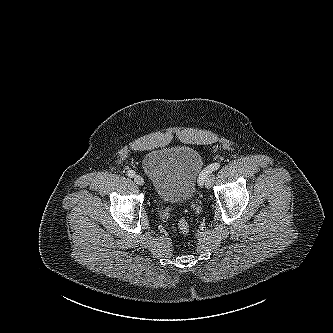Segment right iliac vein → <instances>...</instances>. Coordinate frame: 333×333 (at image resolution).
<instances>
[{"label":"right iliac vein","mask_w":333,"mask_h":333,"mask_svg":"<svg viewBox=\"0 0 333 333\" xmlns=\"http://www.w3.org/2000/svg\"><path fill=\"white\" fill-rule=\"evenodd\" d=\"M134 181H135V183L138 184V185H143V184H144V179H143V177L140 176V175H135V176H134Z\"/></svg>","instance_id":"1"}]
</instances>
